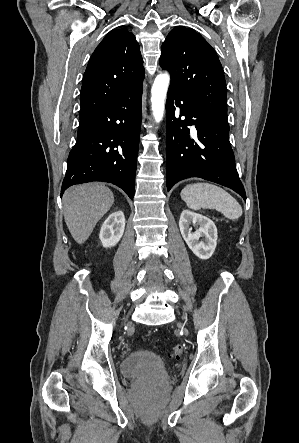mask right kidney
Returning <instances> with one entry per match:
<instances>
[{"instance_id": "right-kidney-1", "label": "right kidney", "mask_w": 299, "mask_h": 443, "mask_svg": "<svg viewBox=\"0 0 299 443\" xmlns=\"http://www.w3.org/2000/svg\"><path fill=\"white\" fill-rule=\"evenodd\" d=\"M125 229V216L122 211H116L104 221L99 238L103 247L115 246L123 236Z\"/></svg>"}]
</instances>
